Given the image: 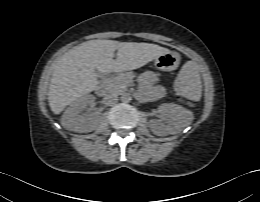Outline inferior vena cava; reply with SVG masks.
I'll return each mask as SVG.
<instances>
[{
  "mask_svg": "<svg viewBox=\"0 0 260 202\" xmlns=\"http://www.w3.org/2000/svg\"><path fill=\"white\" fill-rule=\"evenodd\" d=\"M118 101V96L115 93H109L104 96V103L107 105H113Z\"/></svg>",
  "mask_w": 260,
  "mask_h": 202,
  "instance_id": "602c4592",
  "label": "inferior vena cava"
}]
</instances>
